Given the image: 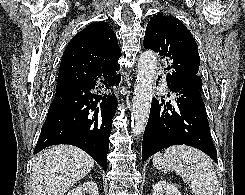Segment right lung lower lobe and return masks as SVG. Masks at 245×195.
Instances as JSON below:
<instances>
[{
	"label": "right lung lower lobe",
	"instance_id": "right-lung-lower-lobe-1",
	"mask_svg": "<svg viewBox=\"0 0 245 195\" xmlns=\"http://www.w3.org/2000/svg\"><path fill=\"white\" fill-rule=\"evenodd\" d=\"M120 74L96 71L87 82L58 87L42 126L34 154L55 144H70L87 152L104 171L112 120L118 101L112 92Z\"/></svg>",
	"mask_w": 245,
	"mask_h": 195
}]
</instances>
